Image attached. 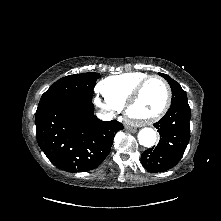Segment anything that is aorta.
I'll return each mask as SVG.
<instances>
[{"label":"aorta","instance_id":"obj_1","mask_svg":"<svg viewBox=\"0 0 221 221\" xmlns=\"http://www.w3.org/2000/svg\"><path fill=\"white\" fill-rule=\"evenodd\" d=\"M139 143L144 147H152L156 142V132L152 128H142L138 133Z\"/></svg>","mask_w":221,"mask_h":221}]
</instances>
